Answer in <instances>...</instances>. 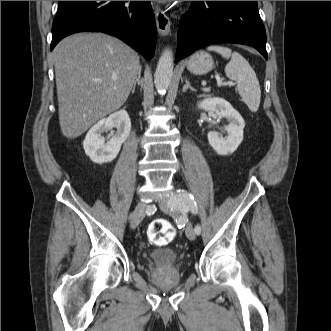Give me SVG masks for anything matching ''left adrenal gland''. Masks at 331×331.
Wrapping results in <instances>:
<instances>
[{
    "label": "left adrenal gland",
    "mask_w": 331,
    "mask_h": 331,
    "mask_svg": "<svg viewBox=\"0 0 331 331\" xmlns=\"http://www.w3.org/2000/svg\"><path fill=\"white\" fill-rule=\"evenodd\" d=\"M187 89H190V90H192V91H196V90L190 85L188 79L185 80V85L183 86L182 91H183V92H186Z\"/></svg>",
    "instance_id": "left-adrenal-gland-1"
}]
</instances>
